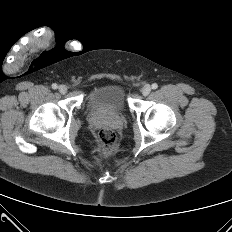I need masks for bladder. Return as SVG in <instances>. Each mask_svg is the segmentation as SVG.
<instances>
[{"instance_id": "bladder-1", "label": "bladder", "mask_w": 232, "mask_h": 232, "mask_svg": "<svg viewBox=\"0 0 232 232\" xmlns=\"http://www.w3.org/2000/svg\"><path fill=\"white\" fill-rule=\"evenodd\" d=\"M127 105L125 89L118 82H107L95 87L86 99V106L91 111L122 113Z\"/></svg>"}]
</instances>
